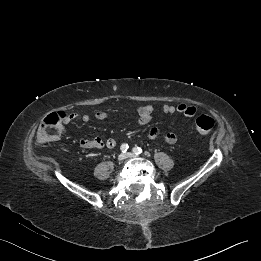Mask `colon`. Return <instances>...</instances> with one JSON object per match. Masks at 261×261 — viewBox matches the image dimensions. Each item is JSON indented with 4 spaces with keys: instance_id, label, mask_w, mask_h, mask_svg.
Segmentation results:
<instances>
[{
    "instance_id": "obj_1",
    "label": "colon",
    "mask_w": 261,
    "mask_h": 261,
    "mask_svg": "<svg viewBox=\"0 0 261 261\" xmlns=\"http://www.w3.org/2000/svg\"><path fill=\"white\" fill-rule=\"evenodd\" d=\"M70 116L63 111L52 112L48 114L41 122L37 132V142L46 144L56 140L61 133L62 124L69 121ZM214 127V120L206 114H201L196 119V132L198 134H207Z\"/></svg>"
}]
</instances>
